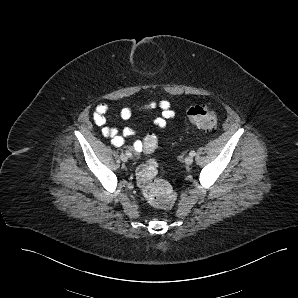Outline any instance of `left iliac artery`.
Here are the masks:
<instances>
[{
  "label": "left iliac artery",
  "mask_w": 298,
  "mask_h": 298,
  "mask_svg": "<svg viewBox=\"0 0 298 298\" xmlns=\"http://www.w3.org/2000/svg\"><path fill=\"white\" fill-rule=\"evenodd\" d=\"M191 156H195V151H191L190 153H189Z\"/></svg>",
  "instance_id": "obj_1"
}]
</instances>
